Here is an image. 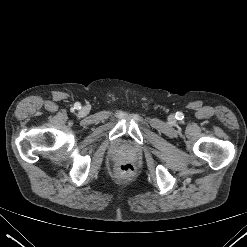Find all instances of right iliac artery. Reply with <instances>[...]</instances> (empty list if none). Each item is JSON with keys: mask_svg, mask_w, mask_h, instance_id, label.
Returning a JSON list of instances; mask_svg holds the SVG:
<instances>
[{"mask_svg": "<svg viewBox=\"0 0 247 247\" xmlns=\"http://www.w3.org/2000/svg\"><path fill=\"white\" fill-rule=\"evenodd\" d=\"M74 108H75V109H80V108H81L80 103H75V104H74Z\"/></svg>", "mask_w": 247, "mask_h": 247, "instance_id": "1", "label": "right iliac artery"}]
</instances>
